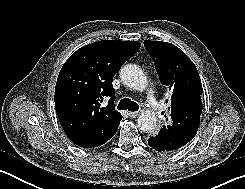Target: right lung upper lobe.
I'll return each mask as SVG.
<instances>
[{
  "label": "right lung upper lobe",
  "mask_w": 245,
  "mask_h": 189,
  "mask_svg": "<svg viewBox=\"0 0 245 189\" xmlns=\"http://www.w3.org/2000/svg\"><path fill=\"white\" fill-rule=\"evenodd\" d=\"M140 46L138 41L102 40L78 49L64 63L55 87V109L73 143L97 147L115 135L122 115L114 107L113 76ZM106 97L108 105L102 107Z\"/></svg>",
  "instance_id": "cb5924a9"
}]
</instances>
